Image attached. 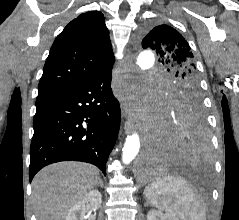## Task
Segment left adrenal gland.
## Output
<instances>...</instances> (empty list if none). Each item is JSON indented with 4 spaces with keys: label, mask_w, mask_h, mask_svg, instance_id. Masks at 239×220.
I'll return each instance as SVG.
<instances>
[{
    "label": "left adrenal gland",
    "mask_w": 239,
    "mask_h": 220,
    "mask_svg": "<svg viewBox=\"0 0 239 220\" xmlns=\"http://www.w3.org/2000/svg\"><path fill=\"white\" fill-rule=\"evenodd\" d=\"M146 205H149V201L147 200Z\"/></svg>",
    "instance_id": "a2214340"
}]
</instances>
